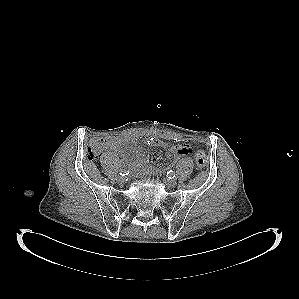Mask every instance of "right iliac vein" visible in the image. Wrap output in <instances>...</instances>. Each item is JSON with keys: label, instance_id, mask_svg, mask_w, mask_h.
Returning <instances> with one entry per match:
<instances>
[{"label": "right iliac vein", "instance_id": "63e3f726", "mask_svg": "<svg viewBox=\"0 0 299 299\" xmlns=\"http://www.w3.org/2000/svg\"><path fill=\"white\" fill-rule=\"evenodd\" d=\"M116 180H117V182L120 183V184H122V183L125 182V178H124L123 176H118Z\"/></svg>", "mask_w": 299, "mask_h": 299}]
</instances>
